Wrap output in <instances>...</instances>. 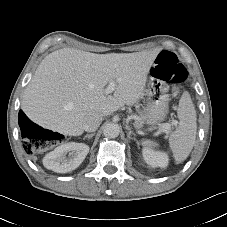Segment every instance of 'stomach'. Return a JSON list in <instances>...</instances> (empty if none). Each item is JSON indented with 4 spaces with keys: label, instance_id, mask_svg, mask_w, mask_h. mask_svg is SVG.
Wrapping results in <instances>:
<instances>
[{
    "label": "stomach",
    "instance_id": "0dacf381",
    "mask_svg": "<svg viewBox=\"0 0 227 227\" xmlns=\"http://www.w3.org/2000/svg\"><path fill=\"white\" fill-rule=\"evenodd\" d=\"M146 109L144 121L154 126L162 122L169 111V94L165 83L155 77H151L146 89Z\"/></svg>",
    "mask_w": 227,
    "mask_h": 227
}]
</instances>
